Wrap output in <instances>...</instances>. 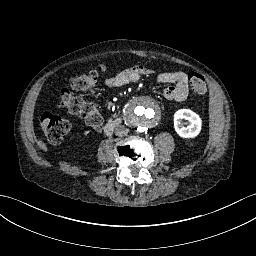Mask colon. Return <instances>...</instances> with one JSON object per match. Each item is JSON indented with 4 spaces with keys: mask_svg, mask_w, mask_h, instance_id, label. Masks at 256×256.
Here are the masks:
<instances>
[{
    "mask_svg": "<svg viewBox=\"0 0 256 256\" xmlns=\"http://www.w3.org/2000/svg\"><path fill=\"white\" fill-rule=\"evenodd\" d=\"M103 72L104 68L98 67L74 77L71 82L72 90L76 92L91 91L99 84ZM187 78L194 94L204 95L206 93V82L200 73L191 71L188 73ZM73 91L68 89L61 91L60 107L78 115L94 129H100L103 119L93 103L76 96ZM41 125L48 141L52 144L62 143L71 127L68 120L51 113L42 115Z\"/></svg>",
    "mask_w": 256,
    "mask_h": 256,
    "instance_id": "obj_1",
    "label": "colon"
}]
</instances>
